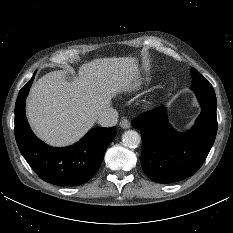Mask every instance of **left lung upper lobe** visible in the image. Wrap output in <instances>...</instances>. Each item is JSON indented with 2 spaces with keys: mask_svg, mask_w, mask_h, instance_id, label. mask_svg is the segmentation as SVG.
Instances as JSON below:
<instances>
[{
  "mask_svg": "<svg viewBox=\"0 0 233 233\" xmlns=\"http://www.w3.org/2000/svg\"><path fill=\"white\" fill-rule=\"evenodd\" d=\"M192 75V86H202V85H209L210 82L203 77L195 68L191 69Z\"/></svg>",
  "mask_w": 233,
  "mask_h": 233,
  "instance_id": "obj_1",
  "label": "left lung upper lobe"
}]
</instances>
